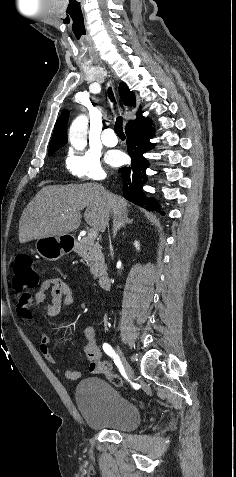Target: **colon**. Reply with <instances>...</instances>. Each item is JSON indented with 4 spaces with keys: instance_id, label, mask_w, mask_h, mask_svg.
<instances>
[{
    "instance_id": "5ec220e1",
    "label": "colon",
    "mask_w": 236,
    "mask_h": 477,
    "mask_svg": "<svg viewBox=\"0 0 236 477\" xmlns=\"http://www.w3.org/2000/svg\"><path fill=\"white\" fill-rule=\"evenodd\" d=\"M38 281L39 277L32 257L25 254L18 256L14 263L13 288L18 296L19 304L30 305L32 297L28 291L34 289ZM103 367L112 384L115 386L123 384L122 378L112 372L108 362H103Z\"/></svg>"
}]
</instances>
